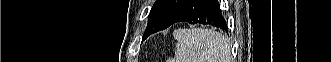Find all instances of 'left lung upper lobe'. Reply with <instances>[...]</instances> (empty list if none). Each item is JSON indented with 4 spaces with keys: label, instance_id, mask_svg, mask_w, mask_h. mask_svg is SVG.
<instances>
[{
    "label": "left lung upper lobe",
    "instance_id": "left-lung-upper-lobe-1",
    "mask_svg": "<svg viewBox=\"0 0 331 62\" xmlns=\"http://www.w3.org/2000/svg\"><path fill=\"white\" fill-rule=\"evenodd\" d=\"M185 0H156L148 16V25L145 32L160 31L172 14Z\"/></svg>",
    "mask_w": 331,
    "mask_h": 62
}]
</instances>
